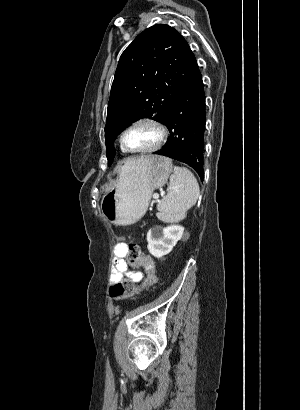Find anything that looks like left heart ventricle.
<instances>
[{"label":"left heart ventricle","mask_w":300,"mask_h":410,"mask_svg":"<svg viewBox=\"0 0 300 410\" xmlns=\"http://www.w3.org/2000/svg\"><path fill=\"white\" fill-rule=\"evenodd\" d=\"M158 139L159 132L156 127L150 124H139L125 134L124 142L131 149H144L156 144Z\"/></svg>","instance_id":"b2bd125f"}]
</instances>
